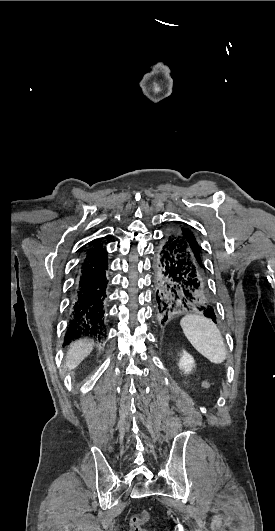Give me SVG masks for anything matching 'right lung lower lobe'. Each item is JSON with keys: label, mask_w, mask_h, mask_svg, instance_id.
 <instances>
[{"label": "right lung lower lobe", "mask_w": 275, "mask_h": 531, "mask_svg": "<svg viewBox=\"0 0 275 531\" xmlns=\"http://www.w3.org/2000/svg\"><path fill=\"white\" fill-rule=\"evenodd\" d=\"M107 270V252L99 241L87 251L79 268L65 342L87 335L100 339L104 335Z\"/></svg>", "instance_id": "98d812e1"}]
</instances>
